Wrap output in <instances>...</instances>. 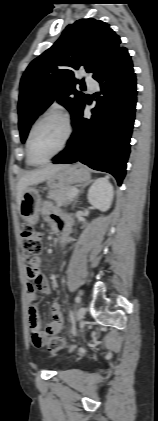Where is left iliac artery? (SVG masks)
Wrapping results in <instances>:
<instances>
[{
  "mask_svg": "<svg viewBox=\"0 0 158 421\" xmlns=\"http://www.w3.org/2000/svg\"><path fill=\"white\" fill-rule=\"evenodd\" d=\"M75 302H76V303H80V302H81V298H80L79 296H76V297H75Z\"/></svg>",
  "mask_w": 158,
  "mask_h": 421,
  "instance_id": "obj_1",
  "label": "left iliac artery"
}]
</instances>
